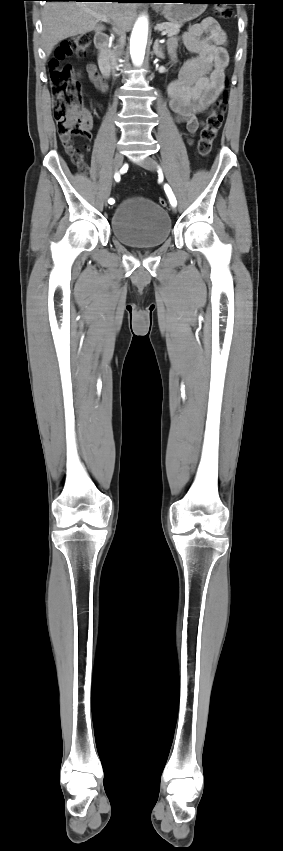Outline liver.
Wrapping results in <instances>:
<instances>
[{"label": "liver", "mask_w": 283, "mask_h": 851, "mask_svg": "<svg viewBox=\"0 0 283 851\" xmlns=\"http://www.w3.org/2000/svg\"><path fill=\"white\" fill-rule=\"evenodd\" d=\"M138 4L132 2H47L42 12V41L49 56L62 40L91 31L105 30L95 14L106 15L113 30L129 31L136 17Z\"/></svg>", "instance_id": "liver-1"}]
</instances>
